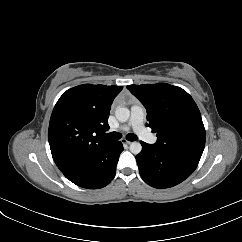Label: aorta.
Here are the masks:
<instances>
[{
    "label": "aorta",
    "mask_w": 242,
    "mask_h": 242,
    "mask_svg": "<svg viewBox=\"0 0 242 242\" xmlns=\"http://www.w3.org/2000/svg\"><path fill=\"white\" fill-rule=\"evenodd\" d=\"M116 118L121 122H126L130 117V110L127 107H117L115 111ZM142 145L140 142L134 141L130 144V151L137 155L141 152Z\"/></svg>",
    "instance_id": "1"
}]
</instances>
